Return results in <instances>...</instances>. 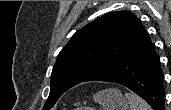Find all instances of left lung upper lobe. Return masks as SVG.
I'll list each match as a JSON object with an SVG mask.
<instances>
[{"mask_svg":"<svg viewBox=\"0 0 171 110\" xmlns=\"http://www.w3.org/2000/svg\"><path fill=\"white\" fill-rule=\"evenodd\" d=\"M147 36L141 21L129 11L107 13L78 30L58 55L44 110L71 87L120 63Z\"/></svg>","mask_w":171,"mask_h":110,"instance_id":"left-lung-upper-lobe-1","label":"left lung upper lobe"}]
</instances>
